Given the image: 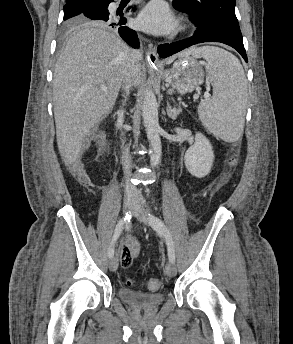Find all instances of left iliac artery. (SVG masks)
Wrapping results in <instances>:
<instances>
[{"instance_id":"left-iliac-artery-1","label":"left iliac artery","mask_w":293,"mask_h":344,"mask_svg":"<svg viewBox=\"0 0 293 344\" xmlns=\"http://www.w3.org/2000/svg\"><path fill=\"white\" fill-rule=\"evenodd\" d=\"M149 224L155 231H157L159 234L165 237L167 248H168L169 261L174 263L175 262L174 244H173L172 236L170 232L168 231V229L166 228L164 222L157 216L149 214Z\"/></svg>"}]
</instances>
